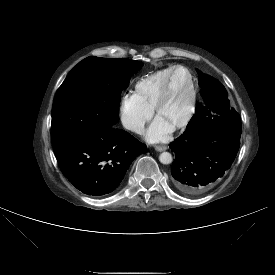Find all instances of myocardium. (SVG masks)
Wrapping results in <instances>:
<instances>
[{"label":"myocardium","mask_w":275,"mask_h":275,"mask_svg":"<svg viewBox=\"0 0 275 275\" xmlns=\"http://www.w3.org/2000/svg\"><path fill=\"white\" fill-rule=\"evenodd\" d=\"M177 70H184L188 75L189 83H190V101H189V105H188V111H187L185 117L179 123H177L176 125H174L172 127V129L174 131L183 129L186 126H188V124L190 123V121L192 120V118L194 116L195 109H196V103H197L196 84H195V80H194V77H193L191 71L187 67L182 66V65H177L172 68V70L170 71V73L167 77V80H166V82L157 98L156 104L153 109L155 116L158 117L162 110V107L164 106V104L169 96L173 75Z\"/></svg>","instance_id":"1"}]
</instances>
